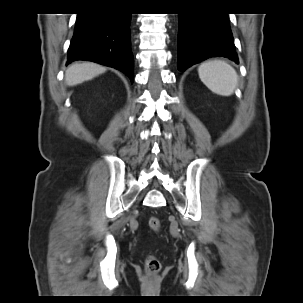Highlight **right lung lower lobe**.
Listing matches in <instances>:
<instances>
[{"label": "right lung lower lobe", "instance_id": "right-lung-lower-lobe-1", "mask_svg": "<svg viewBox=\"0 0 303 303\" xmlns=\"http://www.w3.org/2000/svg\"><path fill=\"white\" fill-rule=\"evenodd\" d=\"M131 14L108 9H92L76 19L67 64L87 60L116 68L133 81Z\"/></svg>", "mask_w": 303, "mask_h": 303}]
</instances>
